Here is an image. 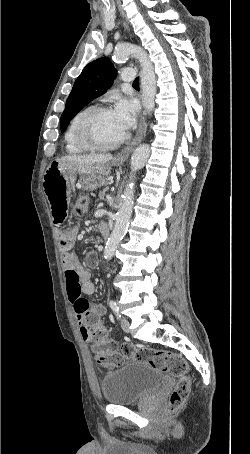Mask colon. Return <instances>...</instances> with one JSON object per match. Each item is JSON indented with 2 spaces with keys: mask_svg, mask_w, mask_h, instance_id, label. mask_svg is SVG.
<instances>
[{
  "mask_svg": "<svg viewBox=\"0 0 250 454\" xmlns=\"http://www.w3.org/2000/svg\"><path fill=\"white\" fill-rule=\"evenodd\" d=\"M90 204V197L85 193H80L77 197L76 212L78 214L87 212ZM89 327L92 349L101 366L110 370L122 365L127 358L147 363L154 369L177 378L176 386L170 395V410H178L185 403L190 394L191 381L187 361L181 355L168 350L135 347L130 344L124 345L121 352H118L116 345L109 340L101 318L91 317Z\"/></svg>",
  "mask_w": 250,
  "mask_h": 454,
  "instance_id": "1",
  "label": "colon"
}]
</instances>
